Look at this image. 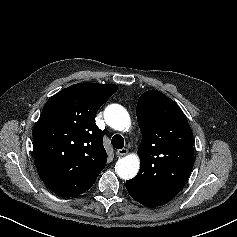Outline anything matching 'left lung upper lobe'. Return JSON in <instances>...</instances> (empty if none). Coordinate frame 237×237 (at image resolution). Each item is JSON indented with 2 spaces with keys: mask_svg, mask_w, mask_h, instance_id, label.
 Here are the masks:
<instances>
[{
  "mask_svg": "<svg viewBox=\"0 0 237 237\" xmlns=\"http://www.w3.org/2000/svg\"><path fill=\"white\" fill-rule=\"evenodd\" d=\"M136 115L142 132L139 173L126 181L130 196L147 207L170 201L193 167V134L181 108L157 90L143 93Z\"/></svg>",
  "mask_w": 237,
  "mask_h": 237,
  "instance_id": "obj_1",
  "label": "left lung upper lobe"
}]
</instances>
